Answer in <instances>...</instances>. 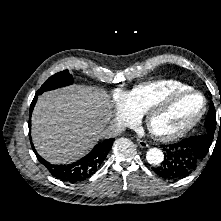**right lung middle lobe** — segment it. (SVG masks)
I'll list each match as a JSON object with an SVG mask.
<instances>
[{"label":"right lung middle lobe","mask_w":221,"mask_h":221,"mask_svg":"<svg viewBox=\"0 0 221 221\" xmlns=\"http://www.w3.org/2000/svg\"><path fill=\"white\" fill-rule=\"evenodd\" d=\"M73 83L72 75L68 70L58 72L51 76L37 91V94H42L44 91L56 89L59 87L67 86Z\"/></svg>","instance_id":"right-lung-middle-lobe-1"}]
</instances>
